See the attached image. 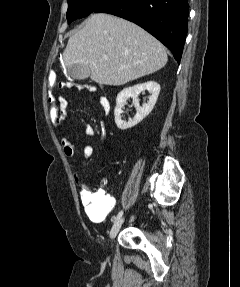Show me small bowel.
I'll use <instances>...</instances> for the list:
<instances>
[{
	"mask_svg": "<svg viewBox=\"0 0 240 287\" xmlns=\"http://www.w3.org/2000/svg\"><path fill=\"white\" fill-rule=\"evenodd\" d=\"M89 91H94V88L90 86ZM99 103L104 114L107 115L110 112L109 101L105 97H99ZM84 128L87 135H95V130L91 125L85 123ZM103 139H106L105 132H103ZM61 145L64 154L69 158H73L77 149L75 144L71 142L66 135L62 136ZM93 152V147L90 144H86L82 149V156L85 159H89L93 155ZM82 199L86 215L95 223L103 222L115 206V198L103 192L101 189H97L95 191L84 190L82 192Z\"/></svg>",
	"mask_w": 240,
	"mask_h": 287,
	"instance_id": "small-bowel-1",
	"label": "small bowel"
}]
</instances>
